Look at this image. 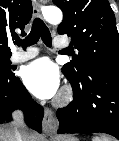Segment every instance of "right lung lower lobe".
<instances>
[{"label": "right lung lower lobe", "instance_id": "obj_1", "mask_svg": "<svg viewBox=\"0 0 119 141\" xmlns=\"http://www.w3.org/2000/svg\"><path fill=\"white\" fill-rule=\"evenodd\" d=\"M21 109L27 125L42 132L44 109L30 96L20 79L12 74L7 77L0 74V123L11 120V112Z\"/></svg>", "mask_w": 119, "mask_h": 141}]
</instances>
